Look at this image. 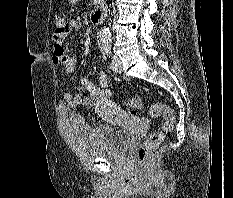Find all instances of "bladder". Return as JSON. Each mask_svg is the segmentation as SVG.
<instances>
[{
	"label": "bladder",
	"mask_w": 233,
	"mask_h": 198,
	"mask_svg": "<svg viewBox=\"0 0 233 198\" xmlns=\"http://www.w3.org/2000/svg\"><path fill=\"white\" fill-rule=\"evenodd\" d=\"M68 134L78 152L92 157L119 158L131 140L127 130L91 124L77 114L68 117Z\"/></svg>",
	"instance_id": "obj_1"
}]
</instances>
